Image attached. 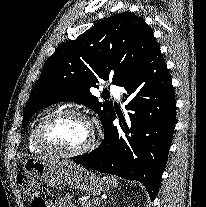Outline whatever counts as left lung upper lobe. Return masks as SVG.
Returning a JSON list of instances; mask_svg holds the SVG:
<instances>
[{"mask_svg":"<svg viewBox=\"0 0 206 207\" xmlns=\"http://www.w3.org/2000/svg\"><path fill=\"white\" fill-rule=\"evenodd\" d=\"M157 45L142 17L119 13L95 24L76 40L61 44L44 64L23 110L25 127L37 111L61 101H75L98 113L103 126L114 109L100 103L90 88L112 77L120 86Z\"/></svg>","mask_w":206,"mask_h":207,"instance_id":"left-lung-upper-lobe-1","label":"left lung upper lobe"}]
</instances>
